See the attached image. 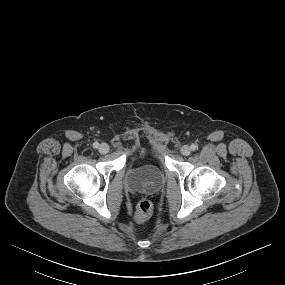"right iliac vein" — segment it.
Returning a JSON list of instances; mask_svg holds the SVG:
<instances>
[{
  "label": "right iliac vein",
  "instance_id": "63e3f726",
  "mask_svg": "<svg viewBox=\"0 0 285 285\" xmlns=\"http://www.w3.org/2000/svg\"><path fill=\"white\" fill-rule=\"evenodd\" d=\"M109 149H110L109 145L106 143H102L98 148L101 154H107L109 152Z\"/></svg>",
  "mask_w": 285,
  "mask_h": 285
}]
</instances>
